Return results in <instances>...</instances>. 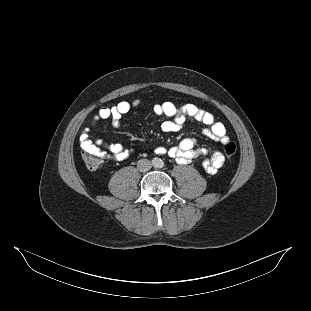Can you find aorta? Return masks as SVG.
Wrapping results in <instances>:
<instances>
[{
	"label": "aorta",
	"mask_w": 311,
	"mask_h": 311,
	"mask_svg": "<svg viewBox=\"0 0 311 311\" xmlns=\"http://www.w3.org/2000/svg\"><path fill=\"white\" fill-rule=\"evenodd\" d=\"M158 160L155 158V159H153L152 160V164H153V166H155V167H159V166H157L156 164H155V162H157Z\"/></svg>",
	"instance_id": "obj_1"
}]
</instances>
